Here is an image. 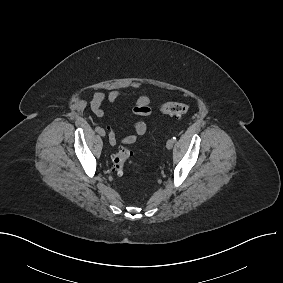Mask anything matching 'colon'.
<instances>
[{
	"label": "colon",
	"mask_w": 283,
	"mask_h": 283,
	"mask_svg": "<svg viewBox=\"0 0 283 283\" xmlns=\"http://www.w3.org/2000/svg\"><path fill=\"white\" fill-rule=\"evenodd\" d=\"M163 114L172 116H182L189 111V106L180 102H165L160 105ZM132 151L128 147H122L112 156V170L117 175H122L126 163L131 159Z\"/></svg>",
	"instance_id": "1"
}]
</instances>
